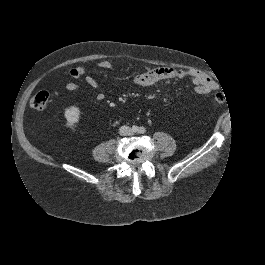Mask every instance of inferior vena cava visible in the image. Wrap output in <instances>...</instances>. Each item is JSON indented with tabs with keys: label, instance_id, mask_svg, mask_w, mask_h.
<instances>
[{
	"label": "inferior vena cava",
	"instance_id": "obj_1",
	"mask_svg": "<svg viewBox=\"0 0 265 265\" xmlns=\"http://www.w3.org/2000/svg\"><path fill=\"white\" fill-rule=\"evenodd\" d=\"M119 134L121 136H129L131 135V129L129 126H121L119 129Z\"/></svg>",
	"mask_w": 265,
	"mask_h": 265
}]
</instances>
